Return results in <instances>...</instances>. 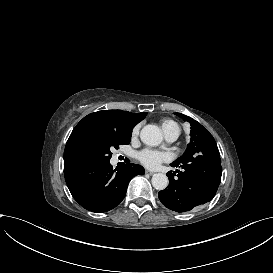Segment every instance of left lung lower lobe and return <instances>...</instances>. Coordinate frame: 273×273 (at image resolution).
<instances>
[{"instance_id": "obj_1", "label": "left lung lower lobe", "mask_w": 273, "mask_h": 273, "mask_svg": "<svg viewBox=\"0 0 273 273\" xmlns=\"http://www.w3.org/2000/svg\"><path fill=\"white\" fill-rule=\"evenodd\" d=\"M172 167L183 171L167 173L169 185L159 192L161 203L170 210L186 212L195 206L209 202L216 194L221 181L220 157L198 155L181 162H173Z\"/></svg>"}]
</instances>
